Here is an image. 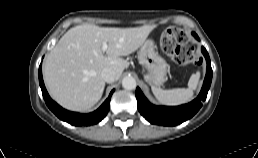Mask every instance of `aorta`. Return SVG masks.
<instances>
[{"instance_id":"obj_1","label":"aorta","mask_w":258,"mask_h":158,"mask_svg":"<svg viewBox=\"0 0 258 158\" xmlns=\"http://www.w3.org/2000/svg\"><path fill=\"white\" fill-rule=\"evenodd\" d=\"M123 88L127 90H133L136 88V80L132 76H126L122 80Z\"/></svg>"}]
</instances>
